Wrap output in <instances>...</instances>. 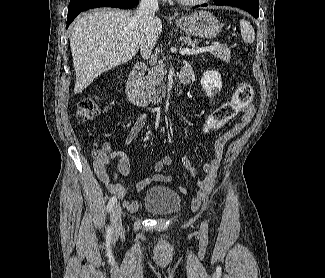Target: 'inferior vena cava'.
<instances>
[{
	"mask_svg": "<svg viewBox=\"0 0 325 278\" xmlns=\"http://www.w3.org/2000/svg\"><path fill=\"white\" fill-rule=\"evenodd\" d=\"M158 10V0H141L137 13L142 19L144 36L141 41L140 53L144 59H149L157 41L155 29V12Z\"/></svg>",
	"mask_w": 325,
	"mask_h": 278,
	"instance_id": "obj_1",
	"label": "inferior vena cava"
}]
</instances>
